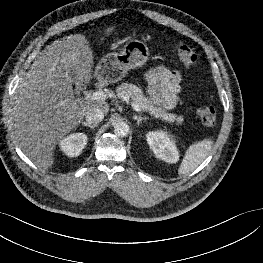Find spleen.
I'll use <instances>...</instances> for the list:
<instances>
[{"mask_svg": "<svg viewBox=\"0 0 263 263\" xmlns=\"http://www.w3.org/2000/svg\"><path fill=\"white\" fill-rule=\"evenodd\" d=\"M213 146V141L204 139L189 146L179 166L178 174L185 175L195 170L208 156Z\"/></svg>", "mask_w": 263, "mask_h": 263, "instance_id": "obj_1", "label": "spleen"}]
</instances>
